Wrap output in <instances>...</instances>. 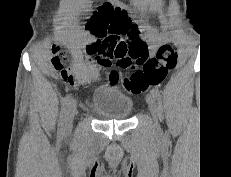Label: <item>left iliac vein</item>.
<instances>
[{"label": "left iliac vein", "instance_id": "left-iliac-vein-1", "mask_svg": "<svg viewBox=\"0 0 231 177\" xmlns=\"http://www.w3.org/2000/svg\"><path fill=\"white\" fill-rule=\"evenodd\" d=\"M146 102L148 104L149 111L152 114V117L154 119L155 126L158 129L159 128L158 110H157V104H156L154 96L152 94H148L146 96Z\"/></svg>", "mask_w": 231, "mask_h": 177}]
</instances>
